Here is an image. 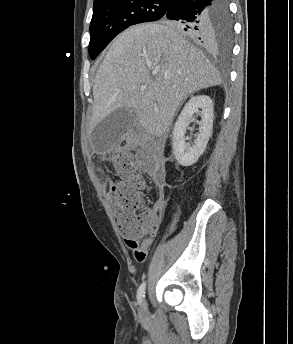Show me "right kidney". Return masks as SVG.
<instances>
[{
	"label": "right kidney",
	"mask_w": 293,
	"mask_h": 344,
	"mask_svg": "<svg viewBox=\"0 0 293 344\" xmlns=\"http://www.w3.org/2000/svg\"><path fill=\"white\" fill-rule=\"evenodd\" d=\"M198 114L199 133L192 146L185 142V133L190 119ZM213 129V102L207 95L191 97L185 104L172 132V149L177 162L188 167L196 163L206 149Z\"/></svg>",
	"instance_id": "obj_1"
}]
</instances>
